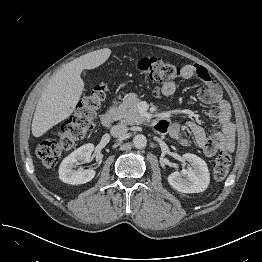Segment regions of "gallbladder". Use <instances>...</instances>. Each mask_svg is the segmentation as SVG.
Returning <instances> with one entry per match:
<instances>
[{
  "instance_id": "bac80fb5",
  "label": "gallbladder",
  "mask_w": 262,
  "mask_h": 262,
  "mask_svg": "<svg viewBox=\"0 0 262 262\" xmlns=\"http://www.w3.org/2000/svg\"><path fill=\"white\" fill-rule=\"evenodd\" d=\"M84 76H88V73H86L85 71L83 72Z\"/></svg>"
}]
</instances>
